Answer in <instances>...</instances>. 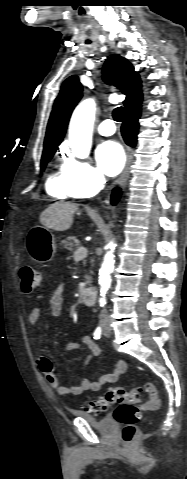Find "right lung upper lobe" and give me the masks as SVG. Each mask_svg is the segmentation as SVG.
Wrapping results in <instances>:
<instances>
[{"label": "right lung upper lobe", "mask_w": 187, "mask_h": 479, "mask_svg": "<svg viewBox=\"0 0 187 479\" xmlns=\"http://www.w3.org/2000/svg\"><path fill=\"white\" fill-rule=\"evenodd\" d=\"M104 81L115 84L126 95L125 109L142 103L141 80L132 64L116 54L107 59L103 67ZM82 97V85L77 76H70L63 84L51 113L44 142V151L56 150L66 131L70 115Z\"/></svg>", "instance_id": "cb5924a9"}]
</instances>
